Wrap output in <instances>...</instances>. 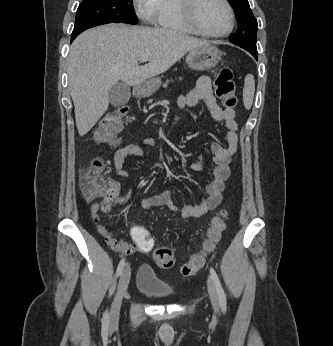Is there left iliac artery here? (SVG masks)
<instances>
[{"instance_id":"obj_1","label":"left iliac artery","mask_w":333,"mask_h":346,"mask_svg":"<svg viewBox=\"0 0 333 346\" xmlns=\"http://www.w3.org/2000/svg\"><path fill=\"white\" fill-rule=\"evenodd\" d=\"M210 275H211V279L214 282V285L217 289L221 309L223 312H226V295H225V292L222 288L219 277L213 268H210Z\"/></svg>"}]
</instances>
